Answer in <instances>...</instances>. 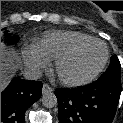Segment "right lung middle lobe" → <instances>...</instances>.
<instances>
[{
	"label": "right lung middle lobe",
	"instance_id": "right-lung-middle-lobe-1",
	"mask_svg": "<svg viewBox=\"0 0 123 123\" xmlns=\"http://www.w3.org/2000/svg\"><path fill=\"white\" fill-rule=\"evenodd\" d=\"M5 36L7 37L6 43L8 44H14L18 41L19 37L17 35L15 36H10L7 32H5Z\"/></svg>",
	"mask_w": 123,
	"mask_h": 123
}]
</instances>
